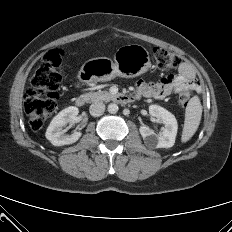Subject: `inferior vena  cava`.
Wrapping results in <instances>:
<instances>
[{
  "mask_svg": "<svg viewBox=\"0 0 232 232\" xmlns=\"http://www.w3.org/2000/svg\"><path fill=\"white\" fill-rule=\"evenodd\" d=\"M105 111V105L103 102H95L90 105L89 112L92 116H101Z\"/></svg>",
  "mask_w": 232,
  "mask_h": 232,
  "instance_id": "602c4592",
  "label": "inferior vena cava"
}]
</instances>
